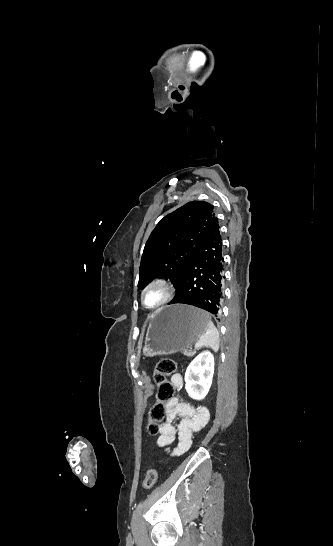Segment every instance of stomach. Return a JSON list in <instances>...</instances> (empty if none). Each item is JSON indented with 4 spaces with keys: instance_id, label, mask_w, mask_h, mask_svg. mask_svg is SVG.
Here are the masks:
<instances>
[{
    "instance_id": "obj_1",
    "label": "stomach",
    "mask_w": 333,
    "mask_h": 546,
    "mask_svg": "<svg viewBox=\"0 0 333 546\" xmlns=\"http://www.w3.org/2000/svg\"><path fill=\"white\" fill-rule=\"evenodd\" d=\"M208 320L205 311L184 304L156 311L149 323L143 354L171 355L191 347L205 333Z\"/></svg>"
}]
</instances>
